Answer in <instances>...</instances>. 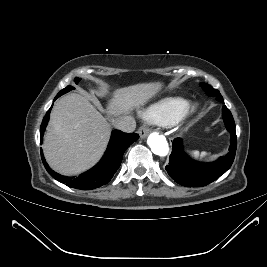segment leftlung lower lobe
<instances>
[{
	"label": "left lung lower lobe",
	"mask_w": 267,
	"mask_h": 267,
	"mask_svg": "<svg viewBox=\"0 0 267 267\" xmlns=\"http://www.w3.org/2000/svg\"><path fill=\"white\" fill-rule=\"evenodd\" d=\"M204 90L207 94H211V87L207 86ZM222 111L225 126L231 133L229 153L213 163L196 162L190 159L183 151L181 139H174L169 164L165 169L178 184L187 187L205 186L215 181L231 167L237 146L235 122L226 106H223Z\"/></svg>",
	"instance_id": "left-lung-lower-lobe-1"
}]
</instances>
